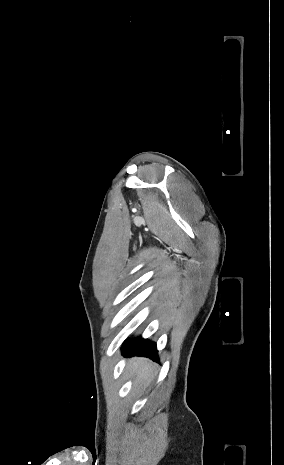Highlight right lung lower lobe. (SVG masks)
Listing matches in <instances>:
<instances>
[{
  "instance_id": "right-lung-lower-lobe-1",
  "label": "right lung lower lobe",
  "mask_w": 284,
  "mask_h": 465,
  "mask_svg": "<svg viewBox=\"0 0 284 465\" xmlns=\"http://www.w3.org/2000/svg\"><path fill=\"white\" fill-rule=\"evenodd\" d=\"M123 355L129 356H146L153 360L158 361V354L156 344L149 340L142 339L141 337L126 340L122 347Z\"/></svg>"
}]
</instances>
